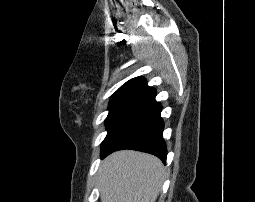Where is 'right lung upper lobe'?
Wrapping results in <instances>:
<instances>
[{"instance_id": "1", "label": "right lung upper lobe", "mask_w": 255, "mask_h": 202, "mask_svg": "<svg viewBox=\"0 0 255 202\" xmlns=\"http://www.w3.org/2000/svg\"><path fill=\"white\" fill-rule=\"evenodd\" d=\"M155 94V89L147 86L143 77L133 78L113 94L109 103V114H137L156 102Z\"/></svg>"}]
</instances>
